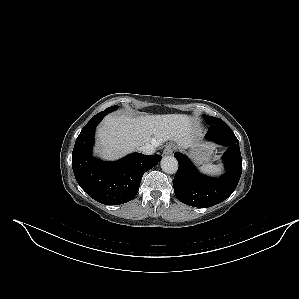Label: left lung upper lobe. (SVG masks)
Wrapping results in <instances>:
<instances>
[{
	"label": "left lung upper lobe",
	"mask_w": 299,
	"mask_h": 299,
	"mask_svg": "<svg viewBox=\"0 0 299 299\" xmlns=\"http://www.w3.org/2000/svg\"><path fill=\"white\" fill-rule=\"evenodd\" d=\"M204 118L207 122H209L211 125H214L216 123H225L222 119L216 121V119L212 116L204 115Z\"/></svg>",
	"instance_id": "left-lung-upper-lobe-1"
}]
</instances>
